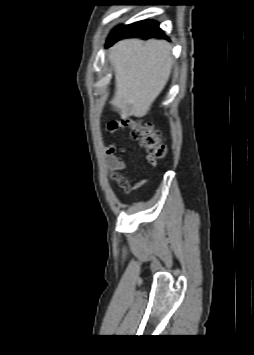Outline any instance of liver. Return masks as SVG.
Instances as JSON below:
<instances>
[{
	"label": "liver",
	"mask_w": 254,
	"mask_h": 355,
	"mask_svg": "<svg viewBox=\"0 0 254 355\" xmlns=\"http://www.w3.org/2000/svg\"><path fill=\"white\" fill-rule=\"evenodd\" d=\"M115 93L111 103L122 118L145 116L171 74V46L163 40L125 39L110 48Z\"/></svg>",
	"instance_id": "obj_1"
}]
</instances>
